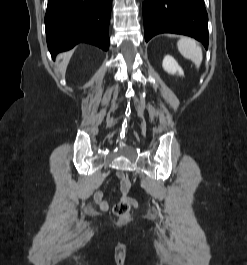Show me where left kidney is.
<instances>
[{"label": "left kidney", "instance_id": "obj_1", "mask_svg": "<svg viewBox=\"0 0 247 265\" xmlns=\"http://www.w3.org/2000/svg\"><path fill=\"white\" fill-rule=\"evenodd\" d=\"M162 66H163V69L169 74L178 73L179 75H182V76L184 75L182 68L178 65L176 60L170 55H167L164 57Z\"/></svg>", "mask_w": 247, "mask_h": 265}]
</instances>
